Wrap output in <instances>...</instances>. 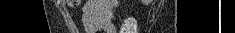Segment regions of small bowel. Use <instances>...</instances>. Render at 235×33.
I'll return each instance as SVG.
<instances>
[{
    "label": "small bowel",
    "instance_id": "c3829d8e",
    "mask_svg": "<svg viewBox=\"0 0 235 33\" xmlns=\"http://www.w3.org/2000/svg\"><path fill=\"white\" fill-rule=\"evenodd\" d=\"M114 3L107 0H89L83 6L82 23L86 33H116L112 22Z\"/></svg>",
    "mask_w": 235,
    "mask_h": 33
}]
</instances>
